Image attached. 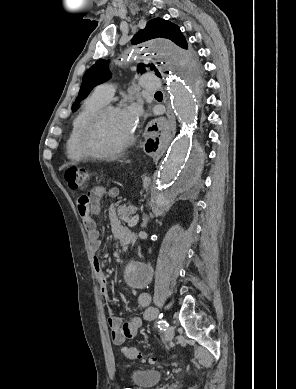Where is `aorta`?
<instances>
[{
	"label": "aorta",
	"mask_w": 296,
	"mask_h": 389,
	"mask_svg": "<svg viewBox=\"0 0 296 389\" xmlns=\"http://www.w3.org/2000/svg\"><path fill=\"white\" fill-rule=\"evenodd\" d=\"M152 49H122L116 63L146 62L156 66L168 80L171 105L182 123V130L171 144L167 156L156 176L150 204L162 208L184 189L197 187L199 167L203 166L206 149L193 138L197 127L198 110L204 96L202 67H192L188 52L167 40H154ZM125 279L134 288L148 285L152 276L149 265L131 261L125 267Z\"/></svg>",
	"instance_id": "aorta-1"
}]
</instances>
